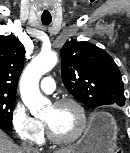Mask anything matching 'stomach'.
<instances>
[{
	"instance_id": "obj_1",
	"label": "stomach",
	"mask_w": 130,
	"mask_h": 153,
	"mask_svg": "<svg viewBox=\"0 0 130 153\" xmlns=\"http://www.w3.org/2000/svg\"><path fill=\"white\" fill-rule=\"evenodd\" d=\"M117 132L114 118L101 113L92 120L73 153H111L116 147Z\"/></svg>"
}]
</instances>
